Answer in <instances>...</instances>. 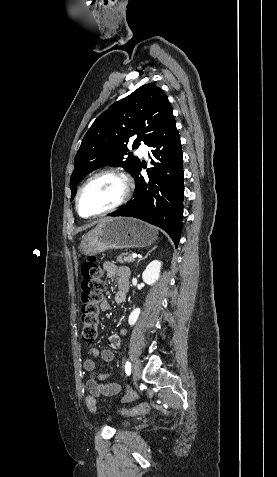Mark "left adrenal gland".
Returning a JSON list of instances; mask_svg holds the SVG:
<instances>
[{"label":"left adrenal gland","instance_id":"obj_1","mask_svg":"<svg viewBox=\"0 0 277 477\" xmlns=\"http://www.w3.org/2000/svg\"><path fill=\"white\" fill-rule=\"evenodd\" d=\"M156 248H157V247L154 246V248H152V249L146 254V256H145L144 258H147V257L150 255V253H151L152 251H154ZM140 260H142V259H139V260H138V263H139Z\"/></svg>","mask_w":277,"mask_h":477}]
</instances>
